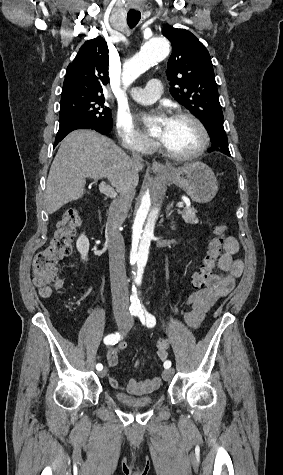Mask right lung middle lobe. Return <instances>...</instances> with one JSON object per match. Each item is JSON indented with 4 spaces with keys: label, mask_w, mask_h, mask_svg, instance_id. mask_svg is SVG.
Segmentation results:
<instances>
[{
    "label": "right lung middle lobe",
    "mask_w": 283,
    "mask_h": 475,
    "mask_svg": "<svg viewBox=\"0 0 283 475\" xmlns=\"http://www.w3.org/2000/svg\"><path fill=\"white\" fill-rule=\"evenodd\" d=\"M104 96L99 94H65L61 96L60 122L79 118L95 125L112 128L111 110L104 106Z\"/></svg>",
    "instance_id": "right-lung-middle-lobe-1"
}]
</instances>
